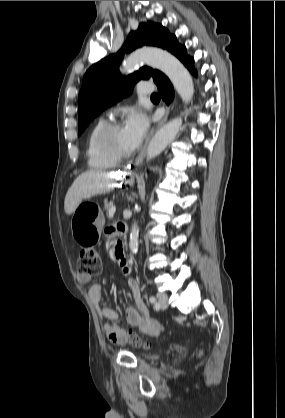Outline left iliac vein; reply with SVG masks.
<instances>
[{
    "mask_svg": "<svg viewBox=\"0 0 285 418\" xmlns=\"http://www.w3.org/2000/svg\"><path fill=\"white\" fill-rule=\"evenodd\" d=\"M157 306L161 309H166L168 307V298L164 293L157 294Z\"/></svg>",
    "mask_w": 285,
    "mask_h": 418,
    "instance_id": "left-iliac-vein-1",
    "label": "left iliac vein"
}]
</instances>
